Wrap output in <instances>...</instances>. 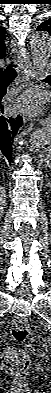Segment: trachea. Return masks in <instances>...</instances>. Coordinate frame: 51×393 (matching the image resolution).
<instances>
[{"instance_id":"obj_1","label":"trachea","mask_w":51,"mask_h":393,"mask_svg":"<svg viewBox=\"0 0 51 393\" xmlns=\"http://www.w3.org/2000/svg\"><path fill=\"white\" fill-rule=\"evenodd\" d=\"M17 64L12 62L6 69L0 72V83L9 84L11 83L17 76Z\"/></svg>"}]
</instances>
